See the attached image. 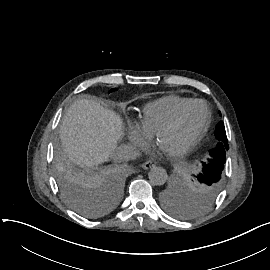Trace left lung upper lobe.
Instances as JSON below:
<instances>
[{"mask_svg": "<svg viewBox=\"0 0 270 270\" xmlns=\"http://www.w3.org/2000/svg\"><path fill=\"white\" fill-rule=\"evenodd\" d=\"M215 137L219 141L217 147L209 152L210 156L207 161L202 162V171L186 187L187 192L199 201L201 206L199 209L207 206L213 200L222 184L226 151L229 148L223 122L217 126ZM163 203L170 212L178 216L188 217L194 211L188 207L186 195H165Z\"/></svg>", "mask_w": 270, "mask_h": 270, "instance_id": "5c2ea615", "label": "left lung upper lobe"}]
</instances>
